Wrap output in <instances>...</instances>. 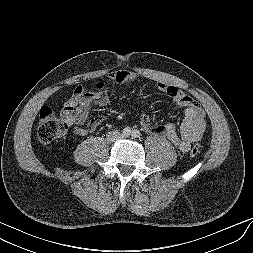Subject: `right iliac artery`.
Wrapping results in <instances>:
<instances>
[{"label": "right iliac artery", "mask_w": 253, "mask_h": 253, "mask_svg": "<svg viewBox=\"0 0 253 253\" xmlns=\"http://www.w3.org/2000/svg\"><path fill=\"white\" fill-rule=\"evenodd\" d=\"M131 134V129L129 127H126L123 129V135L129 136Z\"/></svg>", "instance_id": "obj_1"}]
</instances>
